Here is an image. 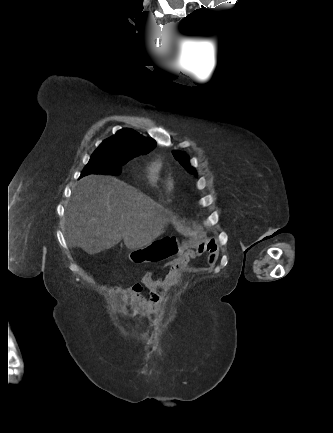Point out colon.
Instances as JSON below:
<instances>
[{
    "label": "colon",
    "instance_id": "colon-1",
    "mask_svg": "<svg viewBox=\"0 0 333 433\" xmlns=\"http://www.w3.org/2000/svg\"><path fill=\"white\" fill-rule=\"evenodd\" d=\"M179 241L178 236H161L153 244H146L145 249H127V262L130 265H161L162 258H175Z\"/></svg>",
    "mask_w": 333,
    "mask_h": 433
}]
</instances>
